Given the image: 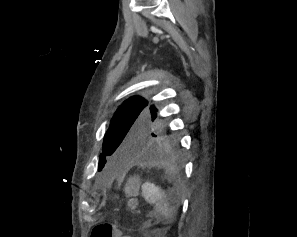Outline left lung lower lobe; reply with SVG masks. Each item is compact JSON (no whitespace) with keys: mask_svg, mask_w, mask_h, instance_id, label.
<instances>
[{"mask_svg":"<svg viewBox=\"0 0 297 237\" xmlns=\"http://www.w3.org/2000/svg\"><path fill=\"white\" fill-rule=\"evenodd\" d=\"M178 147L175 139L171 136L170 132L161 133L159 138L154 141L150 153L146 155L147 157H156L164 155L166 152L177 151Z\"/></svg>","mask_w":297,"mask_h":237,"instance_id":"left-lung-lower-lobe-1","label":"left lung lower lobe"}]
</instances>
